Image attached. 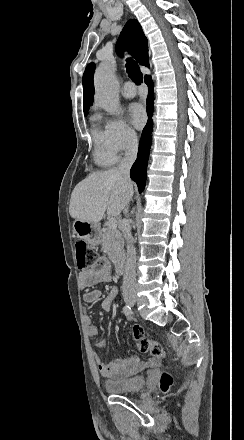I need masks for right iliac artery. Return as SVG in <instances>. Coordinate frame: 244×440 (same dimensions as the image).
Wrapping results in <instances>:
<instances>
[{
  "label": "right iliac artery",
  "mask_w": 244,
  "mask_h": 440,
  "mask_svg": "<svg viewBox=\"0 0 244 440\" xmlns=\"http://www.w3.org/2000/svg\"><path fill=\"white\" fill-rule=\"evenodd\" d=\"M123 313H124L126 316L130 315V314L132 313V309H131V307H130L129 305H125V306L123 307Z\"/></svg>",
  "instance_id": "right-iliac-artery-1"
}]
</instances>
